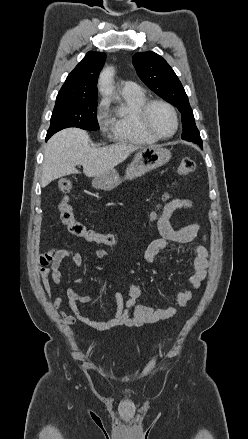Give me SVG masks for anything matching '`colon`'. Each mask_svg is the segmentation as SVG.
<instances>
[{"label":"colon","mask_w":248,"mask_h":439,"mask_svg":"<svg viewBox=\"0 0 248 439\" xmlns=\"http://www.w3.org/2000/svg\"><path fill=\"white\" fill-rule=\"evenodd\" d=\"M195 168L196 164L194 160L184 158L180 161L177 171L180 176L188 177L194 172ZM58 188L63 195L59 204L60 217L71 234L99 246H114L118 243V237L114 233L87 228L76 218L73 206L67 196L72 189V181L70 178L60 179ZM163 199L167 200L168 195L165 194ZM156 218L157 213L153 212L151 214V220H155Z\"/></svg>","instance_id":"1"}]
</instances>
